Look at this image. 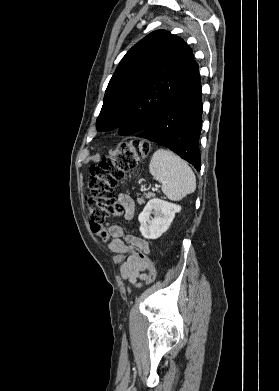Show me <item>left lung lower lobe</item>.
<instances>
[{
  "label": "left lung lower lobe",
  "instance_id": "left-lung-lower-lobe-1",
  "mask_svg": "<svg viewBox=\"0 0 279 391\" xmlns=\"http://www.w3.org/2000/svg\"><path fill=\"white\" fill-rule=\"evenodd\" d=\"M202 92L199 70L137 137L166 146L197 170L201 168L199 136L202 126Z\"/></svg>",
  "mask_w": 279,
  "mask_h": 391
}]
</instances>
